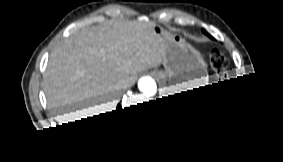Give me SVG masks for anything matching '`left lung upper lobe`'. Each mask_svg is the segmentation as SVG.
Here are the masks:
<instances>
[{"label":"left lung upper lobe","instance_id":"obj_1","mask_svg":"<svg viewBox=\"0 0 283 162\" xmlns=\"http://www.w3.org/2000/svg\"><path fill=\"white\" fill-rule=\"evenodd\" d=\"M203 33H205V34H206V31H205V30H203Z\"/></svg>","mask_w":283,"mask_h":162}]
</instances>
